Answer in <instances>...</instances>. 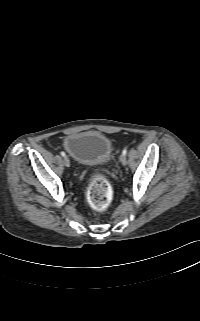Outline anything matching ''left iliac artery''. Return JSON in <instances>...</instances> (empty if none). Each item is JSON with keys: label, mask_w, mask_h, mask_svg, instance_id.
I'll list each match as a JSON object with an SVG mask.
<instances>
[{"label": "left iliac artery", "mask_w": 200, "mask_h": 321, "mask_svg": "<svg viewBox=\"0 0 200 321\" xmlns=\"http://www.w3.org/2000/svg\"><path fill=\"white\" fill-rule=\"evenodd\" d=\"M123 155H126L127 154V149H124L123 152H122Z\"/></svg>", "instance_id": "obj_1"}]
</instances>
